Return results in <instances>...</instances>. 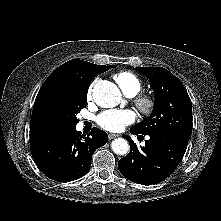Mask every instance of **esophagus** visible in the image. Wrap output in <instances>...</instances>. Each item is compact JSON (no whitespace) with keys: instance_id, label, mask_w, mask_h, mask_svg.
<instances>
[{"instance_id":"1","label":"esophagus","mask_w":221,"mask_h":221,"mask_svg":"<svg viewBox=\"0 0 221 221\" xmlns=\"http://www.w3.org/2000/svg\"><path fill=\"white\" fill-rule=\"evenodd\" d=\"M117 137H119L118 134H113V133L109 134V140H112V139L117 138Z\"/></svg>"}]
</instances>
